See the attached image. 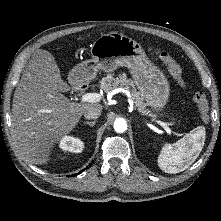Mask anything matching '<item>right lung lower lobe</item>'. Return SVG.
Returning <instances> with one entry per match:
<instances>
[{
	"label": "right lung lower lobe",
	"mask_w": 221,
	"mask_h": 221,
	"mask_svg": "<svg viewBox=\"0 0 221 221\" xmlns=\"http://www.w3.org/2000/svg\"><path fill=\"white\" fill-rule=\"evenodd\" d=\"M92 165V163L89 165V166H91ZM88 168V167H87ZM80 173H81V171H80ZM77 175V174H76ZM71 176H73V175H71Z\"/></svg>",
	"instance_id": "98d812e1"
}]
</instances>
